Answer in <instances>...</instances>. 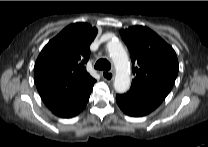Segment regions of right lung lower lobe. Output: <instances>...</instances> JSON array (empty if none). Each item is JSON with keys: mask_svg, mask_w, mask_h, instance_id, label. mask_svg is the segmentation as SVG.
Here are the masks:
<instances>
[{"mask_svg": "<svg viewBox=\"0 0 208 147\" xmlns=\"http://www.w3.org/2000/svg\"><path fill=\"white\" fill-rule=\"evenodd\" d=\"M91 91L92 89L86 92L83 96H81L76 101L61 107H57L51 111L59 117H63V118L73 117L79 114L85 108L89 100Z\"/></svg>", "mask_w": 208, "mask_h": 147, "instance_id": "right-lung-lower-lobe-1", "label": "right lung lower lobe"}]
</instances>
